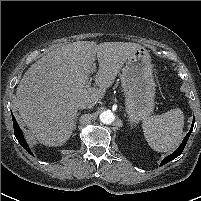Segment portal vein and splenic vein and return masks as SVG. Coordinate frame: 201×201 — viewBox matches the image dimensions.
Segmentation results:
<instances>
[{"label": "portal vein and splenic vein", "instance_id": "1", "mask_svg": "<svg viewBox=\"0 0 201 201\" xmlns=\"http://www.w3.org/2000/svg\"><path fill=\"white\" fill-rule=\"evenodd\" d=\"M93 71H94V69H93ZM91 83H92V78H90V79L87 81L86 86L89 87V86L91 85Z\"/></svg>", "mask_w": 201, "mask_h": 201}]
</instances>
